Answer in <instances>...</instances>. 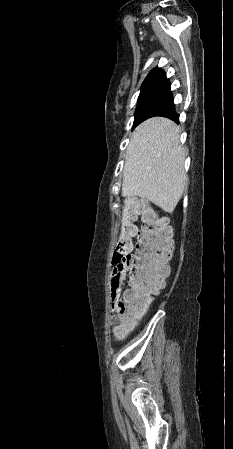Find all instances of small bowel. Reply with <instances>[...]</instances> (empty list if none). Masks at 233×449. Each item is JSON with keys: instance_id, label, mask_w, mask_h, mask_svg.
<instances>
[{"instance_id": "small-bowel-1", "label": "small bowel", "mask_w": 233, "mask_h": 449, "mask_svg": "<svg viewBox=\"0 0 233 449\" xmlns=\"http://www.w3.org/2000/svg\"><path fill=\"white\" fill-rule=\"evenodd\" d=\"M127 266L124 264H116L112 270L110 277L111 299L114 306L121 301L122 289L127 276Z\"/></svg>"}]
</instances>
